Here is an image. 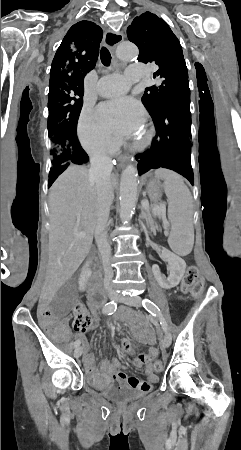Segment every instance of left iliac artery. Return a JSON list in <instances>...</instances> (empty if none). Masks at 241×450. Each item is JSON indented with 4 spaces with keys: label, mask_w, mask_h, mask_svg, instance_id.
<instances>
[{
    "label": "left iliac artery",
    "mask_w": 241,
    "mask_h": 450,
    "mask_svg": "<svg viewBox=\"0 0 241 450\" xmlns=\"http://www.w3.org/2000/svg\"><path fill=\"white\" fill-rule=\"evenodd\" d=\"M142 305L153 316H157L159 318L160 324H161L163 330L166 332L167 329H168V326H167V323H166L165 319L163 318V316L161 314V311H160L159 307L154 302H152L151 300H149L147 298H145L142 301Z\"/></svg>",
    "instance_id": "1"
}]
</instances>
